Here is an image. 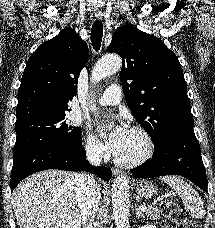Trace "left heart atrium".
Wrapping results in <instances>:
<instances>
[{
  "mask_svg": "<svg viewBox=\"0 0 215 228\" xmlns=\"http://www.w3.org/2000/svg\"><path fill=\"white\" fill-rule=\"evenodd\" d=\"M98 130L101 133H107V143L110 152L116 157L122 154L128 145L131 130L120 120H118L117 125L111 130L107 129L105 123L100 124Z\"/></svg>",
  "mask_w": 215,
  "mask_h": 228,
  "instance_id": "1",
  "label": "left heart atrium"
}]
</instances>
